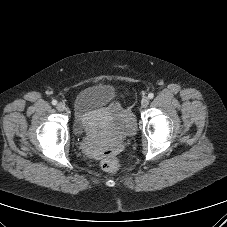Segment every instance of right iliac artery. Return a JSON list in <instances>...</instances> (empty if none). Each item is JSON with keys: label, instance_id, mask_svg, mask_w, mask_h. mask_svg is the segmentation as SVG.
<instances>
[{"label": "right iliac artery", "instance_id": "1", "mask_svg": "<svg viewBox=\"0 0 227 227\" xmlns=\"http://www.w3.org/2000/svg\"><path fill=\"white\" fill-rule=\"evenodd\" d=\"M52 104L56 105L57 104V100H52Z\"/></svg>", "mask_w": 227, "mask_h": 227}]
</instances>
